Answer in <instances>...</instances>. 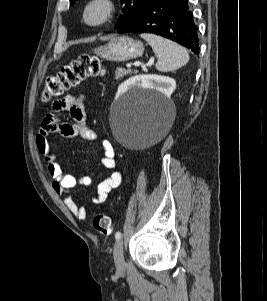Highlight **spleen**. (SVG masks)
<instances>
[{"label":"spleen","instance_id":"1","mask_svg":"<svg viewBox=\"0 0 267 301\" xmlns=\"http://www.w3.org/2000/svg\"><path fill=\"white\" fill-rule=\"evenodd\" d=\"M157 57L156 69L161 72L174 71L186 65L189 54L177 43L153 34H142Z\"/></svg>","mask_w":267,"mask_h":301}]
</instances>
